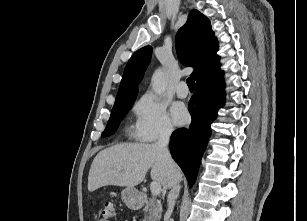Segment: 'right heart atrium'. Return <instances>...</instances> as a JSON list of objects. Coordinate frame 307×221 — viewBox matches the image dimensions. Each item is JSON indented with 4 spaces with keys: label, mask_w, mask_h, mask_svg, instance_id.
<instances>
[{
    "label": "right heart atrium",
    "mask_w": 307,
    "mask_h": 221,
    "mask_svg": "<svg viewBox=\"0 0 307 221\" xmlns=\"http://www.w3.org/2000/svg\"><path fill=\"white\" fill-rule=\"evenodd\" d=\"M134 113L136 139L153 142L173 134L174 127L166 106L154 94L146 93L141 96L134 106Z\"/></svg>",
    "instance_id": "right-heart-atrium-1"
}]
</instances>
